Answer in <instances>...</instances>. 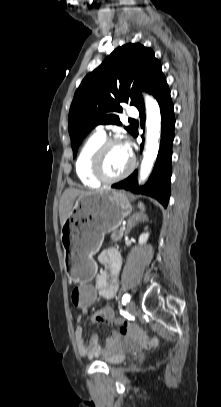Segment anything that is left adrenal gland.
I'll use <instances>...</instances> for the list:
<instances>
[{
	"instance_id": "a2214340",
	"label": "left adrenal gland",
	"mask_w": 221,
	"mask_h": 407,
	"mask_svg": "<svg viewBox=\"0 0 221 407\" xmlns=\"http://www.w3.org/2000/svg\"><path fill=\"white\" fill-rule=\"evenodd\" d=\"M147 220V216L139 213H135L132 216L129 217L128 222H127V230L125 234H128L130 230L140 221H145Z\"/></svg>"
}]
</instances>
